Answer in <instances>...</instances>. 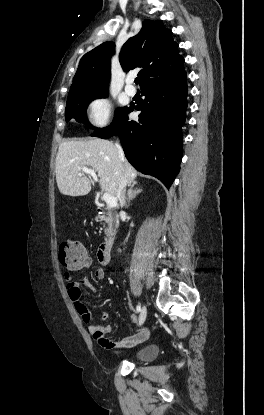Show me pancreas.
Segmentation results:
<instances>
[{
  "mask_svg": "<svg viewBox=\"0 0 264 415\" xmlns=\"http://www.w3.org/2000/svg\"><path fill=\"white\" fill-rule=\"evenodd\" d=\"M100 221H104L106 223L105 226V234L107 236L113 235L116 232V228L118 226L117 216L113 215L110 211L105 215L98 217Z\"/></svg>",
  "mask_w": 264,
  "mask_h": 415,
  "instance_id": "pancreas-1",
  "label": "pancreas"
}]
</instances>
